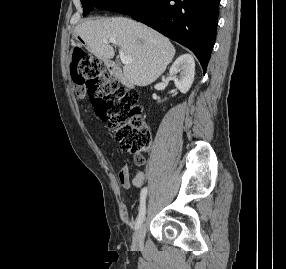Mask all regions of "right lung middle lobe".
Listing matches in <instances>:
<instances>
[{
	"label": "right lung middle lobe",
	"mask_w": 286,
	"mask_h": 269,
	"mask_svg": "<svg viewBox=\"0 0 286 269\" xmlns=\"http://www.w3.org/2000/svg\"><path fill=\"white\" fill-rule=\"evenodd\" d=\"M156 0H81L84 12L87 15L94 7L132 15L152 6Z\"/></svg>",
	"instance_id": "obj_1"
}]
</instances>
